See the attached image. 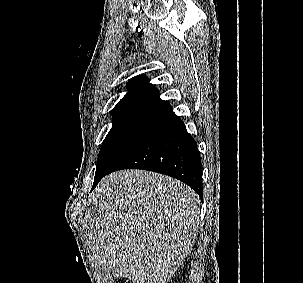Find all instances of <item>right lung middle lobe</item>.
Masks as SVG:
<instances>
[{"label":"right lung middle lobe","mask_w":303,"mask_h":283,"mask_svg":"<svg viewBox=\"0 0 303 283\" xmlns=\"http://www.w3.org/2000/svg\"><path fill=\"white\" fill-rule=\"evenodd\" d=\"M155 119V117L144 115L113 118L112 128L100 149L94 184L110 170L125 150Z\"/></svg>","instance_id":"1"}]
</instances>
